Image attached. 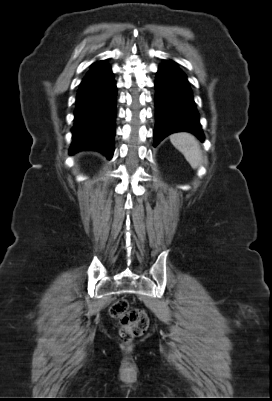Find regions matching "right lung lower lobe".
I'll return each mask as SVG.
<instances>
[{"instance_id": "1", "label": "right lung lower lobe", "mask_w": 272, "mask_h": 401, "mask_svg": "<svg viewBox=\"0 0 272 401\" xmlns=\"http://www.w3.org/2000/svg\"><path fill=\"white\" fill-rule=\"evenodd\" d=\"M75 126L70 155L96 150L108 159L114 152L116 84L111 68L95 62L84 77L76 99Z\"/></svg>"}]
</instances>
